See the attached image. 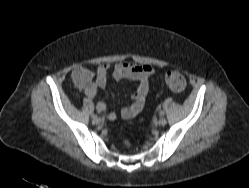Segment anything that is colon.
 <instances>
[{"mask_svg": "<svg viewBox=\"0 0 249 188\" xmlns=\"http://www.w3.org/2000/svg\"><path fill=\"white\" fill-rule=\"evenodd\" d=\"M79 79V76H78ZM165 82L168 87L175 92H182L186 86V80L184 76L177 71H169L165 74ZM124 144L129 146L128 141H124Z\"/></svg>", "mask_w": 249, "mask_h": 188, "instance_id": "colon-1", "label": "colon"}]
</instances>
